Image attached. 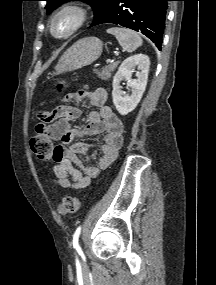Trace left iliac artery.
I'll use <instances>...</instances> for the list:
<instances>
[{
	"label": "left iliac artery",
	"instance_id": "1",
	"mask_svg": "<svg viewBox=\"0 0 216 285\" xmlns=\"http://www.w3.org/2000/svg\"><path fill=\"white\" fill-rule=\"evenodd\" d=\"M80 232H81V227L79 226L75 233H74V236H73V247L80 251V247H79V244H78V239H79V235H80Z\"/></svg>",
	"mask_w": 216,
	"mask_h": 285
}]
</instances>
